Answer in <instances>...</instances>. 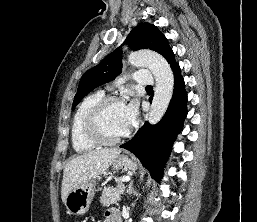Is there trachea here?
Masks as SVG:
<instances>
[{"label": "trachea", "mask_w": 257, "mask_h": 222, "mask_svg": "<svg viewBox=\"0 0 257 222\" xmlns=\"http://www.w3.org/2000/svg\"><path fill=\"white\" fill-rule=\"evenodd\" d=\"M146 88H148V89H152L153 87H152V86H146Z\"/></svg>", "instance_id": "3493384b"}]
</instances>
